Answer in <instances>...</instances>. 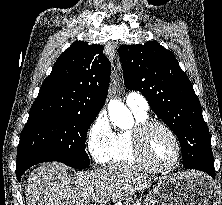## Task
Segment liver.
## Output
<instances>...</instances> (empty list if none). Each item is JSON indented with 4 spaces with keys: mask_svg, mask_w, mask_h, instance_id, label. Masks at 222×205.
Here are the masks:
<instances>
[{
    "mask_svg": "<svg viewBox=\"0 0 222 205\" xmlns=\"http://www.w3.org/2000/svg\"><path fill=\"white\" fill-rule=\"evenodd\" d=\"M156 178L115 165L68 176L67 166L51 162L31 172L26 185L27 205H90L133 195Z\"/></svg>",
    "mask_w": 222,
    "mask_h": 205,
    "instance_id": "obj_1",
    "label": "liver"
}]
</instances>
